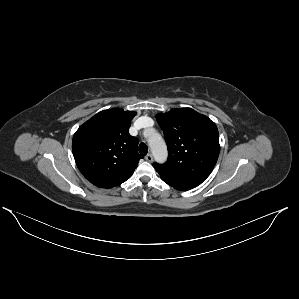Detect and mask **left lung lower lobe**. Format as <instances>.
Here are the masks:
<instances>
[{
    "instance_id": "left-lung-lower-lobe-1",
    "label": "left lung lower lobe",
    "mask_w": 299,
    "mask_h": 299,
    "mask_svg": "<svg viewBox=\"0 0 299 299\" xmlns=\"http://www.w3.org/2000/svg\"><path fill=\"white\" fill-rule=\"evenodd\" d=\"M162 178V177H161ZM162 180L167 183L168 185L174 187L177 190H181V191H186L189 189H192L196 186H198L200 183H182V182H174V181H169L166 180L164 178H162Z\"/></svg>"
}]
</instances>
